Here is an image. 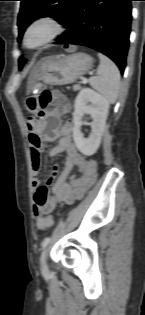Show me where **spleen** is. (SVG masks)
I'll return each instance as SVG.
<instances>
[{"instance_id":"spleen-1","label":"spleen","mask_w":145,"mask_h":315,"mask_svg":"<svg viewBox=\"0 0 145 315\" xmlns=\"http://www.w3.org/2000/svg\"><path fill=\"white\" fill-rule=\"evenodd\" d=\"M100 65L97 75L89 79V84L109 103H114L119 95L121 81L118 67L105 55L99 53Z\"/></svg>"}]
</instances>
